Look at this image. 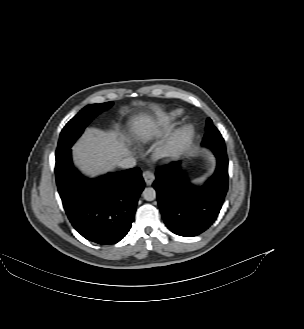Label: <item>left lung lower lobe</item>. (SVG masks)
Instances as JSON below:
<instances>
[{
  "instance_id": "0a47b994",
  "label": "left lung lower lobe",
  "mask_w": 304,
  "mask_h": 329,
  "mask_svg": "<svg viewBox=\"0 0 304 329\" xmlns=\"http://www.w3.org/2000/svg\"><path fill=\"white\" fill-rule=\"evenodd\" d=\"M202 145L217 159L215 173L201 187L192 185L180 162L158 168L153 187L167 227L177 235L193 237L216 220L228 190V158L222 135L215 126L204 135Z\"/></svg>"
}]
</instances>
